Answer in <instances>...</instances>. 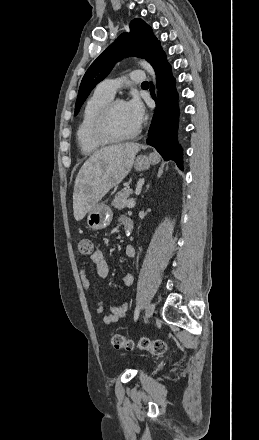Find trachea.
<instances>
[{
	"label": "trachea",
	"instance_id": "obj_1",
	"mask_svg": "<svg viewBox=\"0 0 259 440\" xmlns=\"http://www.w3.org/2000/svg\"><path fill=\"white\" fill-rule=\"evenodd\" d=\"M142 85H148V82H143Z\"/></svg>",
	"mask_w": 259,
	"mask_h": 440
}]
</instances>
